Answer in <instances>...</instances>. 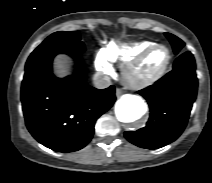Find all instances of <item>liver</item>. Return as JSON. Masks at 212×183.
<instances>
[{
    "instance_id": "1",
    "label": "liver",
    "mask_w": 212,
    "mask_h": 183,
    "mask_svg": "<svg viewBox=\"0 0 212 183\" xmlns=\"http://www.w3.org/2000/svg\"><path fill=\"white\" fill-rule=\"evenodd\" d=\"M54 66H55V72H56L57 76L64 77L67 74L68 64H67L66 60L56 59Z\"/></svg>"
}]
</instances>
